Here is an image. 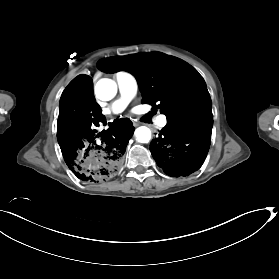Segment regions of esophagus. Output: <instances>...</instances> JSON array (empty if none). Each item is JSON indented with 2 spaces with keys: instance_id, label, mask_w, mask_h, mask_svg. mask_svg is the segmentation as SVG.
Segmentation results:
<instances>
[{
  "instance_id": "esophagus-1",
  "label": "esophagus",
  "mask_w": 279,
  "mask_h": 279,
  "mask_svg": "<svg viewBox=\"0 0 279 279\" xmlns=\"http://www.w3.org/2000/svg\"><path fill=\"white\" fill-rule=\"evenodd\" d=\"M132 122H133V125H134L135 127H137V126L139 125V123H138L137 121H135V120H133Z\"/></svg>"
}]
</instances>
